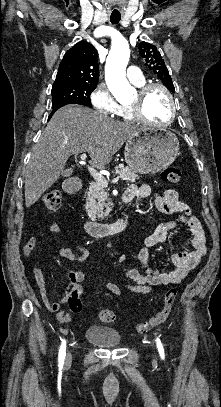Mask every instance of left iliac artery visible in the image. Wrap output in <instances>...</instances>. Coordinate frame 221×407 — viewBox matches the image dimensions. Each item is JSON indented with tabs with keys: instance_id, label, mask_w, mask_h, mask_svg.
<instances>
[{
	"instance_id": "left-iliac-artery-1",
	"label": "left iliac artery",
	"mask_w": 221,
	"mask_h": 407,
	"mask_svg": "<svg viewBox=\"0 0 221 407\" xmlns=\"http://www.w3.org/2000/svg\"><path fill=\"white\" fill-rule=\"evenodd\" d=\"M156 344H157V347H158V352H159V354H160V357L162 358V359H164V357H165V355H164V348H163V345H162V343H161V341H160V339L157 337V339H156Z\"/></svg>"
}]
</instances>
